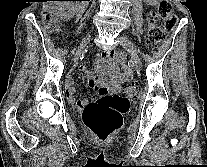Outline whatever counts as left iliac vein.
Returning <instances> with one entry per match:
<instances>
[{
    "mask_svg": "<svg viewBox=\"0 0 207 167\" xmlns=\"http://www.w3.org/2000/svg\"><path fill=\"white\" fill-rule=\"evenodd\" d=\"M119 39H120L121 46L130 52L131 60L134 63V66L136 68H140L141 62H140V58H139L136 46L133 44V42L130 39L126 37H119Z\"/></svg>",
    "mask_w": 207,
    "mask_h": 167,
    "instance_id": "left-iliac-vein-1",
    "label": "left iliac vein"
}]
</instances>
